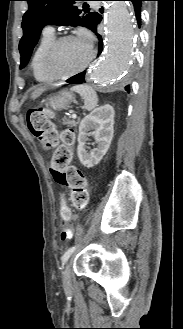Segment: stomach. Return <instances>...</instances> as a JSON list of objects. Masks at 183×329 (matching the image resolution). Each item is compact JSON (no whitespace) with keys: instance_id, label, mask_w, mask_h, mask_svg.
Masks as SVG:
<instances>
[{"instance_id":"0dacf381","label":"stomach","mask_w":183,"mask_h":329,"mask_svg":"<svg viewBox=\"0 0 183 329\" xmlns=\"http://www.w3.org/2000/svg\"><path fill=\"white\" fill-rule=\"evenodd\" d=\"M75 100L72 93L67 90H61L57 95L50 97L47 105L56 111L67 109L69 105Z\"/></svg>"}]
</instances>
